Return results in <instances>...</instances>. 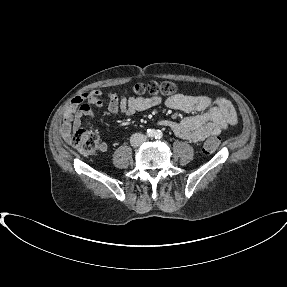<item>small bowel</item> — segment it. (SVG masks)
<instances>
[{"mask_svg": "<svg viewBox=\"0 0 287 287\" xmlns=\"http://www.w3.org/2000/svg\"><path fill=\"white\" fill-rule=\"evenodd\" d=\"M101 91L93 90L75 96L63 117L60 133L65 141H70L72 133L81 125L85 116H92V106L100 107ZM162 103L160 97H118L109 94L108 111L115 114L119 111L127 116L148 110ZM167 107L183 112H197L196 115L185 117L180 121H161L162 125L168 126L180 139L198 143L210 136H217L229 126L238 122L237 113L232 103L224 97L209 98L207 96L175 95L165 101ZM101 150L107 149L106 144L101 145Z\"/></svg>", "mask_w": 287, "mask_h": 287, "instance_id": "obj_1", "label": "small bowel"}]
</instances>
